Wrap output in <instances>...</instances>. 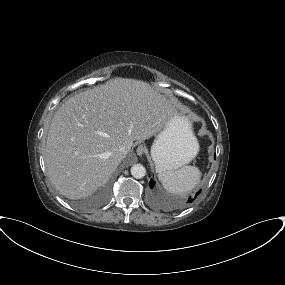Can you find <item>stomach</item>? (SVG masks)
<instances>
[{"instance_id": "stomach-1", "label": "stomach", "mask_w": 285, "mask_h": 285, "mask_svg": "<svg viewBox=\"0 0 285 285\" xmlns=\"http://www.w3.org/2000/svg\"><path fill=\"white\" fill-rule=\"evenodd\" d=\"M198 149L191 124L184 118H177L158 134L151 155L157 170L174 171L189 163Z\"/></svg>"}]
</instances>
